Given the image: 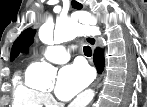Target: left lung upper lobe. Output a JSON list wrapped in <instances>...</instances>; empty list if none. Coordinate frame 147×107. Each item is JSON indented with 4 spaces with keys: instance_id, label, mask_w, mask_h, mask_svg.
Here are the masks:
<instances>
[{
    "instance_id": "5c2ea615",
    "label": "left lung upper lobe",
    "mask_w": 147,
    "mask_h": 107,
    "mask_svg": "<svg viewBox=\"0 0 147 107\" xmlns=\"http://www.w3.org/2000/svg\"><path fill=\"white\" fill-rule=\"evenodd\" d=\"M72 7L76 9H81L82 5L76 1H72ZM35 30L28 28L15 40L12 50H11V58L10 60H14L20 52L28 51V47L33 42V37L35 35Z\"/></svg>"
}]
</instances>
